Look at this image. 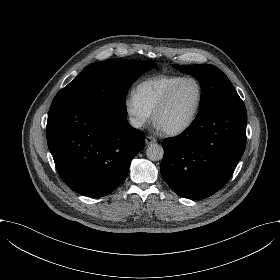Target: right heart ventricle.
Segmentation results:
<instances>
[{"label":"right heart ventricle","mask_w":280,"mask_h":280,"mask_svg":"<svg viewBox=\"0 0 280 280\" xmlns=\"http://www.w3.org/2000/svg\"><path fill=\"white\" fill-rule=\"evenodd\" d=\"M183 78L184 76L179 74L150 77L140 81L135 86L133 93L138 101L153 113L170 89Z\"/></svg>","instance_id":"1"}]
</instances>
